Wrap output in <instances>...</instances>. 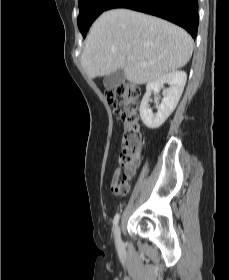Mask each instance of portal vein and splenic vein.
Wrapping results in <instances>:
<instances>
[{
    "label": "portal vein and splenic vein",
    "mask_w": 229,
    "mask_h": 280,
    "mask_svg": "<svg viewBox=\"0 0 229 280\" xmlns=\"http://www.w3.org/2000/svg\"><path fill=\"white\" fill-rule=\"evenodd\" d=\"M127 59H128L129 61H131V60H133V57H132V56H128Z\"/></svg>",
    "instance_id": "obj_1"
}]
</instances>
